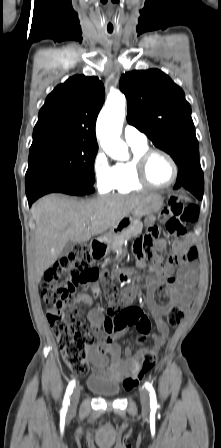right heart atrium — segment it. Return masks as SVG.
Segmentation results:
<instances>
[{
	"label": "right heart atrium",
	"mask_w": 221,
	"mask_h": 448,
	"mask_svg": "<svg viewBox=\"0 0 221 448\" xmlns=\"http://www.w3.org/2000/svg\"><path fill=\"white\" fill-rule=\"evenodd\" d=\"M93 173L96 188L100 192H109L112 190L116 167L112 165L108 156L102 151H98L93 160Z\"/></svg>",
	"instance_id": "right-heart-atrium-1"
}]
</instances>
